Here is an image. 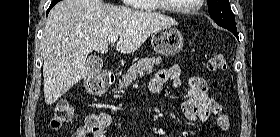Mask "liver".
I'll return each instance as SVG.
<instances>
[{
	"mask_svg": "<svg viewBox=\"0 0 280 137\" xmlns=\"http://www.w3.org/2000/svg\"><path fill=\"white\" fill-rule=\"evenodd\" d=\"M166 15L108 5L102 0H62L50 11L42 38L44 98L55 103L92 72L87 56L107 53L112 36L116 50L131 54L156 31L175 25Z\"/></svg>",
	"mask_w": 280,
	"mask_h": 137,
	"instance_id": "liver-1",
	"label": "liver"
}]
</instances>
